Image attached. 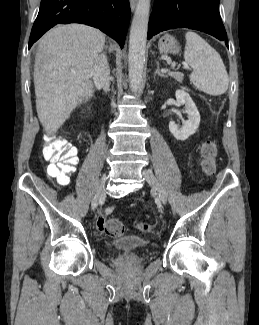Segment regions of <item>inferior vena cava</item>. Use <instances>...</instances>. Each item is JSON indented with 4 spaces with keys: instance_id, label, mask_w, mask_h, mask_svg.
<instances>
[{
    "instance_id": "1",
    "label": "inferior vena cava",
    "mask_w": 259,
    "mask_h": 325,
    "mask_svg": "<svg viewBox=\"0 0 259 325\" xmlns=\"http://www.w3.org/2000/svg\"><path fill=\"white\" fill-rule=\"evenodd\" d=\"M91 74L95 83L101 85L104 91L109 90L110 68L105 54L96 57Z\"/></svg>"
}]
</instances>
